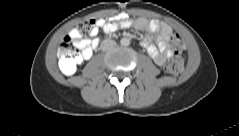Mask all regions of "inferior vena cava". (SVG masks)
<instances>
[{"label": "inferior vena cava", "mask_w": 239, "mask_h": 136, "mask_svg": "<svg viewBox=\"0 0 239 136\" xmlns=\"http://www.w3.org/2000/svg\"><path fill=\"white\" fill-rule=\"evenodd\" d=\"M115 46H116V42H115L114 40H109V39L103 40V41L101 42V45H100V47H101V49H102L103 51H106V50H108V49H111V48H113V47H115Z\"/></svg>", "instance_id": "obj_1"}]
</instances>
